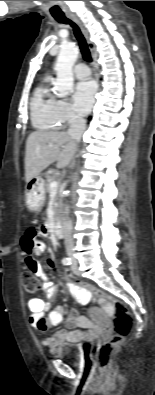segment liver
Instances as JSON below:
<instances>
[{
    "instance_id": "liver-1",
    "label": "liver",
    "mask_w": 155,
    "mask_h": 395,
    "mask_svg": "<svg viewBox=\"0 0 155 395\" xmlns=\"http://www.w3.org/2000/svg\"><path fill=\"white\" fill-rule=\"evenodd\" d=\"M76 151V142L67 132L34 131L26 142L25 180L30 182L40 172L57 162L66 167Z\"/></svg>"
}]
</instances>
